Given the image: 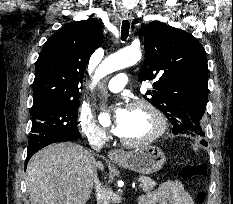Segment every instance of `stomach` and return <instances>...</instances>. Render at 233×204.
<instances>
[{
    "mask_svg": "<svg viewBox=\"0 0 233 204\" xmlns=\"http://www.w3.org/2000/svg\"><path fill=\"white\" fill-rule=\"evenodd\" d=\"M166 162L164 152L156 146H145L126 153L122 159L116 160L121 167L142 174L158 172Z\"/></svg>",
    "mask_w": 233,
    "mask_h": 204,
    "instance_id": "stomach-1",
    "label": "stomach"
}]
</instances>
